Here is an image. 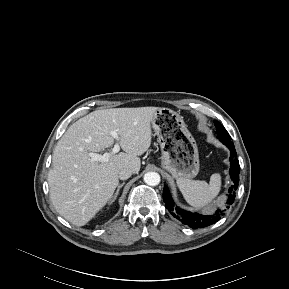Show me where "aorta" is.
I'll use <instances>...</instances> for the list:
<instances>
[{"mask_svg":"<svg viewBox=\"0 0 289 289\" xmlns=\"http://www.w3.org/2000/svg\"><path fill=\"white\" fill-rule=\"evenodd\" d=\"M144 182L149 186H156L160 183V175L157 172H147L144 175Z\"/></svg>","mask_w":289,"mask_h":289,"instance_id":"1","label":"aorta"}]
</instances>
